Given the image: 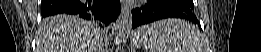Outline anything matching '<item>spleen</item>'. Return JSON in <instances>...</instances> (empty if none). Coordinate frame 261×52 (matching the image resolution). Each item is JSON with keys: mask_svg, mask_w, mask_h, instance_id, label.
I'll return each mask as SVG.
<instances>
[{"mask_svg": "<svg viewBox=\"0 0 261 52\" xmlns=\"http://www.w3.org/2000/svg\"><path fill=\"white\" fill-rule=\"evenodd\" d=\"M149 52H203L200 33L181 19H165L141 27Z\"/></svg>", "mask_w": 261, "mask_h": 52, "instance_id": "3e777b00", "label": "spleen"}]
</instances>
